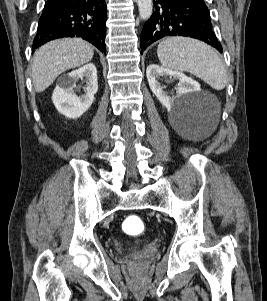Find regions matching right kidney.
I'll list each match as a JSON object with an SVG mask.
<instances>
[{
  "mask_svg": "<svg viewBox=\"0 0 267 301\" xmlns=\"http://www.w3.org/2000/svg\"><path fill=\"white\" fill-rule=\"evenodd\" d=\"M83 78L87 81L85 94L77 96L73 89L76 82ZM97 91V69L94 64L89 63L68 73V79L55 88L52 100L59 113L74 119L80 117L90 108Z\"/></svg>",
  "mask_w": 267,
  "mask_h": 301,
  "instance_id": "obj_1",
  "label": "right kidney"
}]
</instances>
